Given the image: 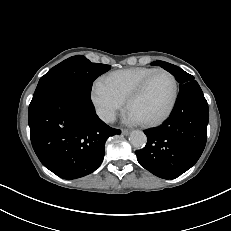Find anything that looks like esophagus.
<instances>
[{
    "instance_id": "obj_1",
    "label": "esophagus",
    "mask_w": 231,
    "mask_h": 231,
    "mask_svg": "<svg viewBox=\"0 0 231 231\" xmlns=\"http://www.w3.org/2000/svg\"><path fill=\"white\" fill-rule=\"evenodd\" d=\"M129 133H130V130H128V129H123L122 130L123 135H128Z\"/></svg>"
}]
</instances>
